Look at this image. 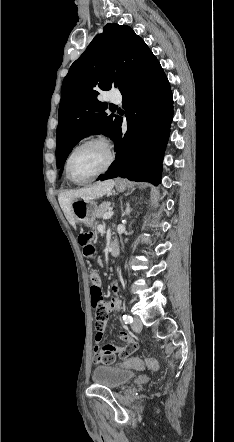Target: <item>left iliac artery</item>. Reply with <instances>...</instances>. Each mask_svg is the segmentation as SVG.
Returning a JSON list of instances; mask_svg holds the SVG:
<instances>
[{
  "label": "left iliac artery",
  "mask_w": 234,
  "mask_h": 442,
  "mask_svg": "<svg viewBox=\"0 0 234 442\" xmlns=\"http://www.w3.org/2000/svg\"><path fill=\"white\" fill-rule=\"evenodd\" d=\"M123 320H124V322L126 323V324H130V323H132L133 322V318L131 317V316H129V315H123Z\"/></svg>",
  "instance_id": "left-iliac-artery-1"
}]
</instances>
